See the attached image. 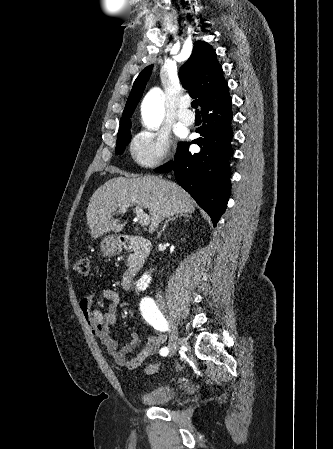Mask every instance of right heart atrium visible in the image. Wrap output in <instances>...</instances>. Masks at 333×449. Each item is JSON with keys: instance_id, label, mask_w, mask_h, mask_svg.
Returning <instances> with one entry per match:
<instances>
[{"instance_id": "d8ad5b80", "label": "right heart atrium", "mask_w": 333, "mask_h": 449, "mask_svg": "<svg viewBox=\"0 0 333 449\" xmlns=\"http://www.w3.org/2000/svg\"><path fill=\"white\" fill-rule=\"evenodd\" d=\"M134 161L142 167L152 168L163 164L170 156V138L162 132L142 131L130 145Z\"/></svg>"}]
</instances>
